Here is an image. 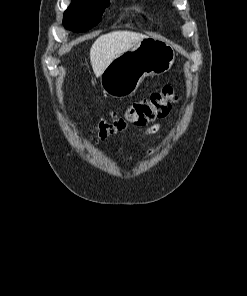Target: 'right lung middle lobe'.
<instances>
[{"label":"right lung middle lobe","instance_id":"obj_1","mask_svg":"<svg viewBox=\"0 0 247 296\" xmlns=\"http://www.w3.org/2000/svg\"><path fill=\"white\" fill-rule=\"evenodd\" d=\"M108 0H73L64 13L65 28L80 32L97 25L102 18Z\"/></svg>","mask_w":247,"mask_h":296}]
</instances>
